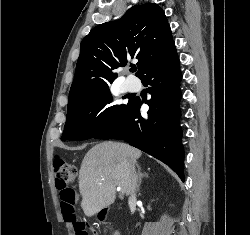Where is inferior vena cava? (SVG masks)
I'll return each instance as SVG.
<instances>
[{
    "label": "inferior vena cava",
    "mask_w": 250,
    "mask_h": 235,
    "mask_svg": "<svg viewBox=\"0 0 250 235\" xmlns=\"http://www.w3.org/2000/svg\"><path fill=\"white\" fill-rule=\"evenodd\" d=\"M137 180H138V175L136 174L135 167L132 166L131 171H130V191H131L130 199L135 198Z\"/></svg>",
    "instance_id": "obj_1"
}]
</instances>
